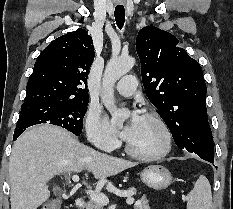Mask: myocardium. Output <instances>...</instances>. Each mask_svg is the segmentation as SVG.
I'll return each mask as SVG.
<instances>
[{"mask_svg": "<svg viewBox=\"0 0 233 209\" xmlns=\"http://www.w3.org/2000/svg\"><path fill=\"white\" fill-rule=\"evenodd\" d=\"M143 117L149 118L154 121L162 131L163 134V146L162 148L150 154L140 153L135 151L128 142L125 144V151L131 157L141 160V161H156L164 158L170 152L172 148V134L171 131L166 124V122L155 112H146L143 114Z\"/></svg>", "mask_w": 233, "mask_h": 209, "instance_id": "f54148a6", "label": "myocardium"}]
</instances>
